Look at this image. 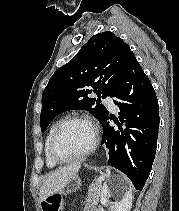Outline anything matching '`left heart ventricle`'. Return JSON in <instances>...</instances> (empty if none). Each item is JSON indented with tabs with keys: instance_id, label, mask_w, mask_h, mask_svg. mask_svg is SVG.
Segmentation results:
<instances>
[{
	"instance_id": "left-heart-ventricle-1",
	"label": "left heart ventricle",
	"mask_w": 179,
	"mask_h": 211,
	"mask_svg": "<svg viewBox=\"0 0 179 211\" xmlns=\"http://www.w3.org/2000/svg\"><path fill=\"white\" fill-rule=\"evenodd\" d=\"M93 136V129L88 123L71 122L61 131L56 142V151L63 158L76 156L89 148Z\"/></svg>"
}]
</instances>
